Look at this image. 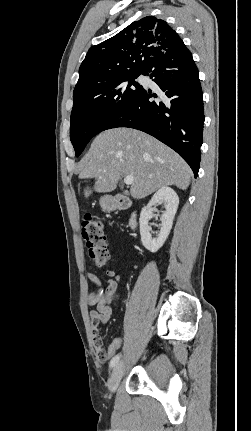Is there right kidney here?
Here are the masks:
<instances>
[{"label":"right kidney","instance_id":"ca27d5eb","mask_svg":"<svg viewBox=\"0 0 251 431\" xmlns=\"http://www.w3.org/2000/svg\"><path fill=\"white\" fill-rule=\"evenodd\" d=\"M164 203L165 211L160 218L161 229L157 238H152L151 228L148 225L149 220L152 218V206ZM179 198L176 192L170 187L160 188L150 199L149 203L140 214V235L143 246L152 253L157 252L165 243L167 237L172 229L173 220L178 208Z\"/></svg>","mask_w":251,"mask_h":431}]
</instances>
